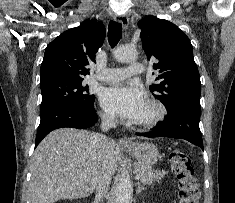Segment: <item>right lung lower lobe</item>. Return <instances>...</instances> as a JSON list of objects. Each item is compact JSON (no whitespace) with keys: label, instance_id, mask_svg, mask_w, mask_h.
<instances>
[{"label":"right lung lower lobe","instance_id":"98d812e1","mask_svg":"<svg viewBox=\"0 0 235 203\" xmlns=\"http://www.w3.org/2000/svg\"><path fill=\"white\" fill-rule=\"evenodd\" d=\"M98 120L94 101L89 104L65 102L41 110V121L37 130L35 147L51 131L63 128H88Z\"/></svg>","mask_w":235,"mask_h":203}]
</instances>
